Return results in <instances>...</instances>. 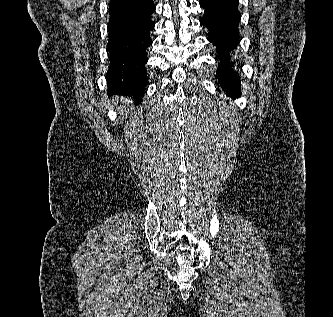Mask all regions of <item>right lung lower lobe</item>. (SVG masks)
<instances>
[{"instance_id": "obj_1", "label": "right lung lower lobe", "mask_w": 333, "mask_h": 317, "mask_svg": "<svg viewBox=\"0 0 333 317\" xmlns=\"http://www.w3.org/2000/svg\"><path fill=\"white\" fill-rule=\"evenodd\" d=\"M108 10V93L130 95L140 102L148 84L146 49L152 44L155 5L153 0H111Z\"/></svg>"}]
</instances>
